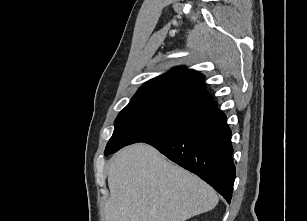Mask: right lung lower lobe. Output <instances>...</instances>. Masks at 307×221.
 <instances>
[{
    "mask_svg": "<svg viewBox=\"0 0 307 221\" xmlns=\"http://www.w3.org/2000/svg\"><path fill=\"white\" fill-rule=\"evenodd\" d=\"M230 137L225 114L214 108L184 130L147 144L198 175L230 203L236 176Z\"/></svg>",
    "mask_w": 307,
    "mask_h": 221,
    "instance_id": "98d812e1",
    "label": "right lung lower lobe"
}]
</instances>
